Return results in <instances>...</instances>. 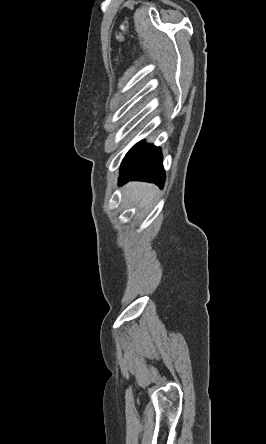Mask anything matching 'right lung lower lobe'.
<instances>
[{
    "instance_id": "right-lung-lower-lobe-1",
    "label": "right lung lower lobe",
    "mask_w": 266,
    "mask_h": 444,
    "mask_svg": "<svg viewBox=\"0 0 266 444\" xmlns=\"http://www.w3.org/2000/svg\"><path fill=\"white\" fill-rule=\"evenodd\" d=\"M129 180L153 182L163 187L165 171L159 147L140 141L129 150L121 164L119 185Z\"/></svg>"
}]
</instances>
